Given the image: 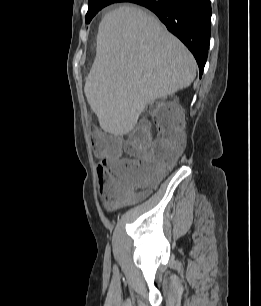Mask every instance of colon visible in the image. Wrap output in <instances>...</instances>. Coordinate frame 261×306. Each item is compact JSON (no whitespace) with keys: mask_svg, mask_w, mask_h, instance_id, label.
<instances>
[{"mask_svg":"<svg viewBox=\"0 0 261 306\" xmlns=\"http://www.w3.org/2000/svg\"><path fill=\"white\" fill-rule=\"evenodd\" d=\"M148 115L157 129L151 136L150 121H142L129 135L125 149L130 157L118 155L119 140L110 135L96 134L93 146L98 154L110 158L108 169L98 165L99 183L107 206L117 203L132 187H146L158 182L164 172L179 158L184 141V119L172 106L153 103Z\"/></svg>","mask_w":261,"mask_h":306,"instance_id":"1","label":"colon"}]
</instances>
